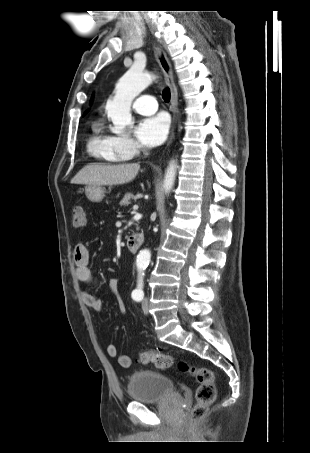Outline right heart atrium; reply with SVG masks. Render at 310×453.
<instances>
[{"mask_svg":"<svg viewBox=\"0 0 310 453\" xmlns=\"http://www.w3.org/2000/svg\"><path fill=\"white\" fill-rule=\"evenodd\" d=\"M115 148L125 157L130 158L138 154L140 144L129 136H112Z\"/></svg>","mask_w":310,"mask_h":453,"instance_id":"1","label":"right heart atrium"}]
</instances>
